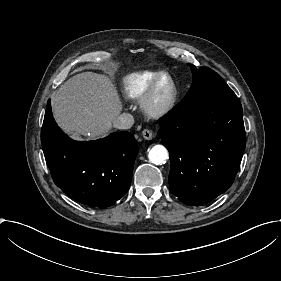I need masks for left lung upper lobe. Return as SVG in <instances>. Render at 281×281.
<instances>
[{
  "label": "left lung upper lobe",
  "instance_id": "5c2ea615",
  "mask_svg": "<svg viewBox=\"0 0 281 281\" xmlns=\"http://www.w3.org/2000/svg\"><path fill=\"white\" fill-rule=\"evenodd\" d=\"M193 74V83L180 104L196 102L217 96L234 95L231 88L213 70L201 67L196 69L190 64Z\"/></svg>",
  "mask_w": 281,
  "mask_h": 281
}]
</instances>
